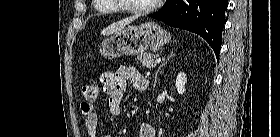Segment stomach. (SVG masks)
<instances>
[{"instance_id":"obj_1","label":"stomach","mask_w":280,"mask_h":137,"mask_svg":"<svg viewBox=\"0 0 280 137\" xmlns=\"http://www.w3.org/2000/svg\"><path fill=\"white\" fill-rule=\"evenodd\" d=\"M171 40L170 34L155 22L128 26L102 42L100 53L107 59L159 51Z\"/></svg>"}]
</instances>
